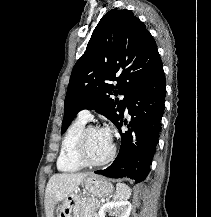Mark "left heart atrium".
Listing matches in <instances>:
<instances>
[{
    "label": "left heart atrium",
    "instance_id": "39dd6f15",
    "mask_svg": "<svg viewBox=\"0 0 211 217\" xmlns=\"http://www.w3.org/2000/svg\"><path fill=\"white\" fill-rule=\"evenodd\" d=\"M101 132L112 142L111 131L109 128L101 129Z\"/></svg>",
    "mask_w": 211,
    "mask_h": 217
}]
</instances>
